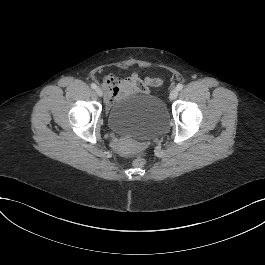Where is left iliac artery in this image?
Masks as SVG:
<instances>
[{"mask_svg": "<svg viewBox=\"0 0 265 265\" xmlns=\"http://www.w3.org/2000/svg\"><path fill=\"white\" fill-rule=\"evenodd\" d=\"M183 87H184V85H183L182 83H179V84L177 85L176 89H177L178 91H180V90L183 89Z\"/></svg>", "mask_w": 265, "mask_h": 265, "instance_id": "44dca946", "label": "left iliac artery"}]
</instances>
